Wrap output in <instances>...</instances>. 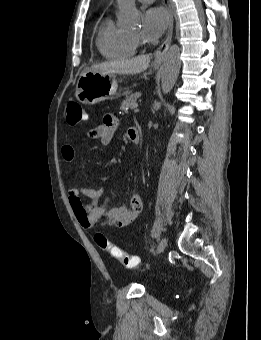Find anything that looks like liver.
Returning a JSON list of instances; mask_svg holds the SVG:
<instances>
[{
  "label": "liver",
  "mask_w": 261,
  "mask_h": 340,
  "mask_svg": "<svg viewBox=\"0 0 261 340\" xmlns=\"http://www.w3.org/2000/svg\"><path fill=\"white\" fill-rule=\"evenodd\" d=\"M150 63L148 55L138 56L132 59L106 61L100 64L93 65L89 70L104 72V73H117V74H138L145 71Z\"/></svg>",
  "instance_id": "6515ba94"
}]
</instances>
